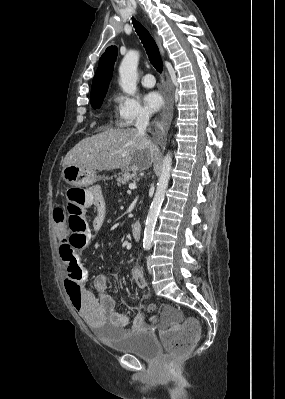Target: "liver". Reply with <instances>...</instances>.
I'll return each instance as SVG.
<instances>
[{"mask_svg": "<svg viewBox=\"0 0 285 399\" xmlns=\"http://www.w3.org/2000/svg\"><path fill=\"white\" fill-rule=\"evenodd\" d=\"M156 146L135 128L108 129L81 140L65 156L63 167L77 165L91 172L129 167L147 169Z\"/></svg>", "mask_w": 285, "mask_h": 399, "instance_id": "1", "label": "liver"}]
</instances>
